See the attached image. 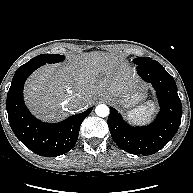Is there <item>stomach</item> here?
<instances>
[{
  "mask_svg": "<svg viewBox=\"0 0 193 193\" xmlns=\"http://www.w3.org/2000/svg\"><path fill=\"white\" fill-rule=\"evenodd\" d=\"M104 96L110 101L119 104L121 107L125 109H130L134 108L145 99L146 92L145 89L139 85L127 93L115 94L107 92L104 94Z\"/></svg>",
  "mask_w": 193,
  "mask_h": 193,
  "instance_id": "1",
  "label": "stomach"
}]
</instances>
